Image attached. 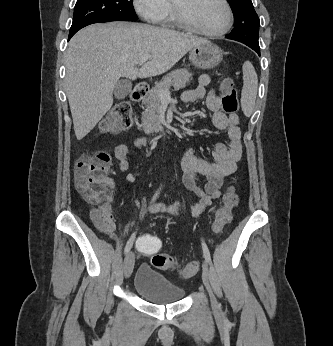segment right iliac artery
Listing matches in <instances>:
<instances>
[{
  "label": "right iliac artery",
  "mask_w": 333,
  "mask_h": 346,
  "mask_svg": "<svg viewBox=\"0 0 333 346\" xmlns=\"http://www.w3.org/2000/svg\"><path fill=\"white\" fill-rule=\"evenodd\" d=\"M158 194H159V189L156 191L155 195L153 196L152 202L156 199V197L158 196ZM134 240H135V233H133V234L131 235V237L129 238V240H128L126 246H125V250H124V253H125V254H127V253L130 251V249L132 248L133 243H134Z\"/></svg>",
  "instance_id": "right-iliac-artery-1"
}]
</instances>
